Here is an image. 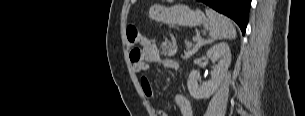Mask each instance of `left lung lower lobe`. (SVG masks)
I'll return each instance as SVG.
<instances>
[{"label": "left lung lower lobe", "mask_w": 305, "mask_h": 116, "mask_svg": "<svg viewBox=\"0 0 305 116\" xmlns=\"http://www.w3.org/2000/svg\"><path fill=\"white\" fill-rule=\"evenodd\" d=\"M216 11L232 18L245 33L251 0H199Z\"/></svg>", "instance_id": "obj_1"}]
</instances>
